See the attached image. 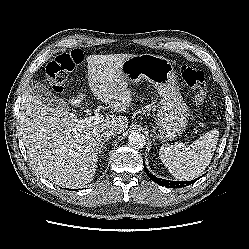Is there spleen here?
<instances>
[{
	"label": "spleen",
	"mask_w": 249,
	"mask_h": 249,
	"mask_svg": "<svg viewBox=\"0 0 249 249\" xmlns=\"http://www.w3.org/2000/svg\"><path fill=\"white\" fill-rule=\"evenodd\" d=\"M218 136V130H211L186 148H181L180 144L162 146L159 149V157L176 179H195L211 162Z\"/></svg>",
	"instance_id": "obj_1"
}]
</instances>
